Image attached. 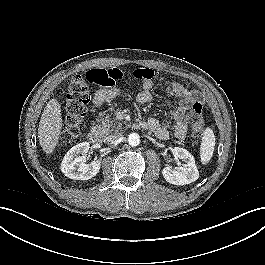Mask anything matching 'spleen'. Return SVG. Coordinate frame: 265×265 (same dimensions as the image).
<instances>
[{
  "label": "spleen",
  "instance_id": "1",
  "mask_svg": "<svg viewBox=\"0 0 265 265\" xmlns=\"http://www.w3.org/2000/svg\"><path fill=\"white\" fill-rule=\"evenodd\" d=\"M215 135L211 128L207 127L203 132L202 142L200 146V159L202 164H207L214 152Z\"/></svg>",
  "mask_w": 265,
  "mask_h": 265
}]
</instances>
